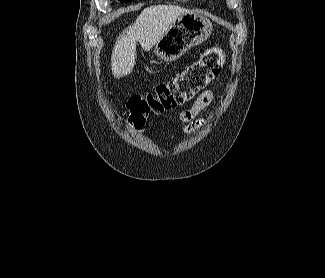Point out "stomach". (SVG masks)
Wrapping results in <instances>:
<instances>
[{
	"label": "stomach",
	"mask_w": 325,
	"mask_h": 278,
	"mask_svg": "<svg viewBox=\"0 0 325 278\" xmlns=\"http://www.w3.org/2000/svg\"><path fill=\"white\" fill-rule=\"evenodd\" d=\"M212 23L197 13L178 17L154 46V54L163 61H174L186 51L208 39Z\"/></svg>",
	"instance_id": "0dacf381"
}]
</instances>
